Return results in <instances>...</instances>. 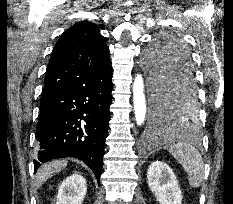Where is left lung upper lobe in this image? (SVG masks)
<instances>
[{"label": "left lung upper lobe", "mask_w": 233, "mask_h": 204, "mask_svg": "<svg viewBox=\"0 0 233 204\" xmlns=\"http://www.w3.org/2000/svg\"><path fill=\"white\" fill-rule=\"evenodd\" d=\"M179 52L190 58L187 48L178 37L173 35L161 36L147 48L144 54V64L149 74L151 87L157 86L170 71L171 63L167 61L168 56ZM153 96L154 94L152 98ZM168 115V123L164 131L170 132V129L178 128L194 132L199 129V107L195 97L182 95L171 104Z\"/></svg>", "instance_id": "5c2ea615"}]
</instances>
